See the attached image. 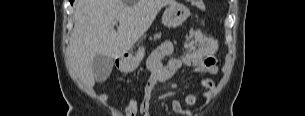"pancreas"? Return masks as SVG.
I'll return each instance as SVG.
<instances>
[{
    "mask_svg": "<svg viewBox=\"0 0 305 116\" xmlns=\"http://www.w3.org/2000/svg\"><path fill=\"white\" fill-rule=\"evenodd\" d=\"M160 38H161V33H155L153 37H150V40H152V39L157 40Z\"/></svg>",
    "mask_w": 305,
    "mask_h": 116,
    "instance_id": "1",
    "label": "pancreas"
}]
</instances>
